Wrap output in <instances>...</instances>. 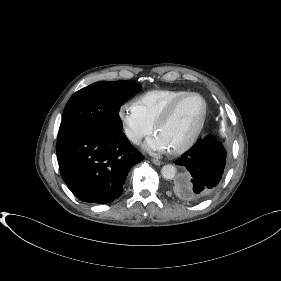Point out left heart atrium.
<instances>
[{"label":"left heart atrium","instance_id":"39dd6f15","mask_svg":"<svg viewBox=\"0 0 281 281\" xmlns=\"http://www.w3.org/2000/svg\"><path fill=\"white\" fill-rule=\"evenodd\" d=\"M145 147L149 150L158 151V152H164V151L168 150L166 145L163 143V141L157 135L150 138L147 141Z\"/></svg>","mask_w":281,"mask_h":281}]
</instances>
